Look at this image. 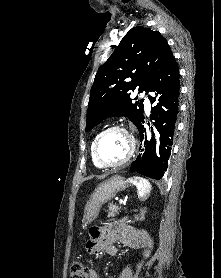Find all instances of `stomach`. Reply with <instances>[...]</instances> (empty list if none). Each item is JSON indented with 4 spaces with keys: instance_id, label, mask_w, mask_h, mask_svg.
Wrapping results in <instances>:
<instances>
[{
    "instance_id": "stomach-1",
    "label": "stomach",
    "mask_w": 221,
    "mask_h": 278,
    "mask_svg": "<svg viewBox=\"0 0 221 278\" xmlns=\"http://www.w3.org/2000/svg\"><path fill=\"white\" fill-rule=\"evenodd\" d=\"M127 187L125 179L119 175L112 176L100 183L85 205L83 223L86 226L96 219L103 204L113 199L116 194Z\"/></svg>"
}]
</instances>
